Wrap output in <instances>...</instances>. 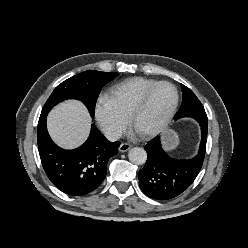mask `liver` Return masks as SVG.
Returning a JSON list of instances; mask_svg holds the SVG:
<instances>
[{"instance_id":"1","label":"liver","mask_w":248,"mask_h":248,"mask_svg":"<svg viewBox=\"0 0 248 248\" xmlns=\"http://www.w3.org/2000/svg\"><path fill=\"white\" fill-rule=\"evenodd\" d=\"M91 118L86 107L76 100L57 105L48 115L47 127L51 138L61 147L80 146L88 137Z\"/></svg>"}]
</instances>
